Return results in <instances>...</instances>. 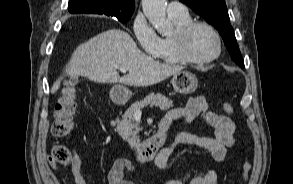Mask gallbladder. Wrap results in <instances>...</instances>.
Wrapping results in <instances>:
<instances>
[{
	"label": "gallbladder",
	"instance_id": "obj_1",
	"mask_svg": "<svg viewBox=\"0 0 293 184\" xmlns=\"http://www.w3.org/2000/svg\"><path fill=\"white\" fill-rule=\"evenodd\" d=\"M77 82H78V77H77V76H74V77H72V78L69 80V84L72 85V86L76 85Z\"/></svg>",
	"mask_w": 293,
	"mask_h": 184
}]
</instances>
